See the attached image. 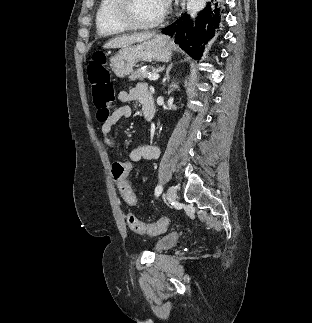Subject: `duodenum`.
<instances>
[{
  "mask_svg": "<svg viewBox=\"0 0 312 323\" xmlns=\"http://www.w3.org/2000/svg\"><path fill=\"white\" fill-rule=\"evenodd\" d=\"M142 116L146 123L151 122L155 116V103L150 91H147L143 97Z\"/></svg>",
  "mask_w": 312,
  "mask_h": 323,
  "instance_id": "obj_1",
  "label": "duodenum"
}]
</instances>
